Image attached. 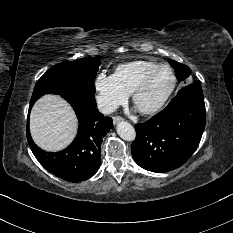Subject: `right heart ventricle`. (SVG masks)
Returning <instances> with one entry per match:
<instances>
[{
  "label": "right heart ventricle",
  "mask_w": 233,
  "mask_h": 233,
  "mask_svg": "<svg viewBox=\"0 0 233 233\" xmlns=\"http://www.w3.org/2000/svg\"><path fill=\"white\" fill-rule=\"evenodd\" d=\"M158 63L146 60H136L118 65L114 77L118 84L131 94L135 86L150 70L158 66Z\"/></svg>",
  "instance_id": "1"
}]
</instances>
